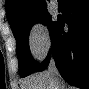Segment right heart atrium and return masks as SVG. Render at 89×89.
I'll use <instances>...</instances> for the list:
<instances>
[{"label":"right heart atrium","mask_w":89,"mask_h":89,"mask_svg":"<svg viewBox=\"0 0 89 89\" xmlns=\"http://www.w3.org/2000/svg\"><path fill=\"white\" fill-rule=\"evenodd\" d=\"M28 44L31 53L37 59L46 57L51 48V38L47 27L43 23L37 22L31 27Z\"/></svg>","instance_id":"1"}]
</instances>
